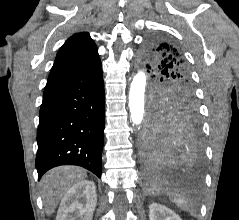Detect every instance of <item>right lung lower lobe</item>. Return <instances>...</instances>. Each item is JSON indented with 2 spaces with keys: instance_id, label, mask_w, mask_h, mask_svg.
Returning a JSON list of instances; mask_svg holds the SVG:
<instances>
[{
  "instance_id": "1",
  "label": "right lung lower lobe",
  "mask_w": 239,
  "mask_h": 220,
  "mask_svg": "<svg viewBox=\"0 0 239 220\" xmlns=\"http://www.w3.org/2000/svg\"><path fill=\"white\" fill-rule=\"evenodd\" d=\"M39 118V179L60 165L82 166L101 177L105 103L100 60L47 81Z\"/></svg>"
}]
</instances>
